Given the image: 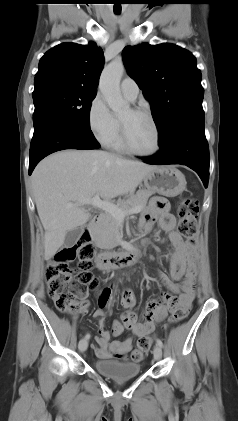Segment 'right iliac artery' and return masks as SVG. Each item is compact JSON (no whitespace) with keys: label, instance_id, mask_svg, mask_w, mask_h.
I'll return each instance as SVG.
<instances>
[{"label":"right iliac artery","instance_id":"82829eb1","mask_svg":"<svg viewBox=\"0 0 238 421\" xmlns=\"http://www.w3.org/2000/svg\"><path fill=\"white\" fill-rule=\"evenodd\" d=\"M85 338H86V339H89V338H90V334H86V335H85Z\"/></svg>","mask_w":238,"mask_h":421}]
</instances>
